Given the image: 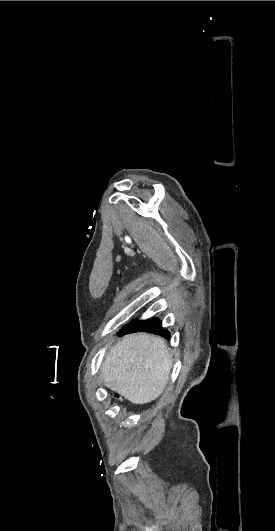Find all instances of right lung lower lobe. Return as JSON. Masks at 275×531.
I'll use <instances>...</instances> for the list:
<instances>
[{"label":"right lung lower lobe","instance_id":"right-lung-lower-lobe-1","mask_svg":"<svg viewBox=\"0 0 275 531\" xmlns=\"http://www.w3.org/2000/svg\"><path fill=\"white\" fill-rule=\"evenodd\" d=\"M124 332H140L147 331L153 332L155 334L164 336L165 338H170V333L167 330H164L161 326V321L159 319L153 318L147 321H138L133 324H128L123 328Z\"/></svg>","mask_w":275,"mask_h":531}]
</instances>
